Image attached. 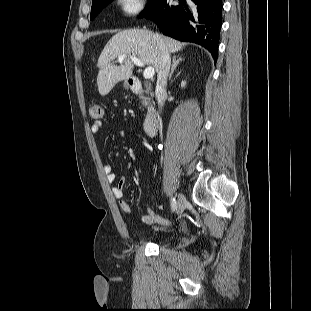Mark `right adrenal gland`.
Returning <instances> with one entry per match:
<instances>
[{
  "label": "right adrenal gland",
  "mask_w": 311,
  "mask_h": 311,
  "mask_svg": "<svg viewBox=\"0 0 311 311\" xmlns=\"http://www.w3.org/2000/svg\"><path fill=\"white\" fill-rule=\"evenodd\" d=\"M184 60V58H182L181 56H174L172 59V67H171V71L169 73L168 76V80L170 81L172 78V75L174 73V71L176 70L177 66L179 65L180 62H182Z\"/></svg>",
  "instance_id": "1"
}]
</instances>
